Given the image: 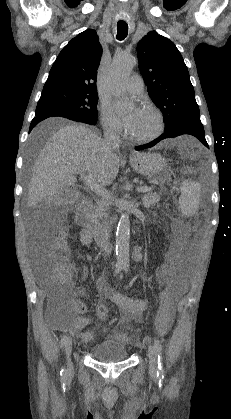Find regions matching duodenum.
<instances>
[{"mask_svg":"<svg viewBox=\"0 0 231 419\" xmlns=\"http://www.w3.org/2000/svg\"><path fill=\"white\" fill-rule=\"evenodd\" d=\"M91 201L85 198L76 210V224L82 229L86 236L95 237L97 242H101L106 236L113 231L115 224L109 227L98 225L92 218Z\"/></svg>","mask_w":231,"mask_h":419,"instance_id":"410a0bca","label":"duodenum"}]
</instances>
